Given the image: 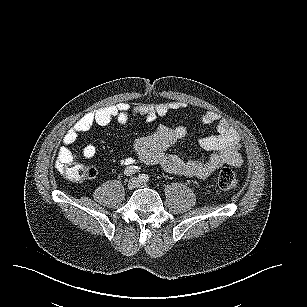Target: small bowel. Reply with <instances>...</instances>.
I'll return each mask as SVG.
<instances>
[{
	"label": "small bowel",
	"mask_w": 307,
	"mask_h": 307,
	"mask_svg": "<svg viewBox=\"0 0 307 307\" xmlns=\"http://www.w3.org/2000/svg\"><path fill=\"white\" fill-rule=\"evenodd\" d=\"M181 101L161 102L156 104L141 103L131 106L128 103L100 108L92 111L79 120L68 130L63 139V145L59 148L57 163H68L75 159L71 146L78 136L92 129L95 125L106 126L113 120L125 124L131 115L142 116L147 121H153L157 117L165 116L172 110L186 107ZM201 122L206 125L216 124V133L199 140L201 148L210 152L207 159H194L185 161L177 156L167 153L174 144L183 141L188 136L185 126L170 128L159 126L154 133L140 138L134 149V154L121 159L123 166H133L143 162L151 165H159L167 172L204 179L224 164L239 167L242 164L240 154L241 138L231 124L213 112L207 111L201 116ZM96 154L94 145H86L83 149L85 158H93Z\"/></svg>",
	"instance_id": "c3829d8e"
}]
</instances>
